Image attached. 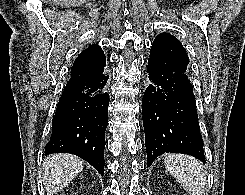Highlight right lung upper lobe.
I'll list each match as a JSON object with an SVG mask.
<instances>
[{"label": "right lung upper lobe", "mask_w": 245, "mask_h": 195, "mask_svg": "<svg viewBox=\"0 0 245 195\" xmlns=\"http://www.w3.org/2000/svg\"><path fill=\"white\" fill-rule=\"evenodd\" d=\"M106 65V57L98 45H91L82 51L75 60L71 75H85L92 72V69H99Z\"/></svg>", "instance_id": "1"}]
</instances>
